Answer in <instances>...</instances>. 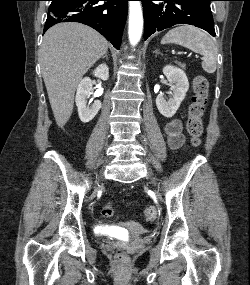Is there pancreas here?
<instances>
[{
    "instance_id": "cf45deb5",
    "label": "pancreas",
    "mask_w": 250,
    "mask_h": 285,
    "mask_svg": "<svg viewBox=\"0 0 250 285\" xmlns=\"http://www.w3.org/2000/svg\"><path fill=\"white\" fill-rule=\"evenodd\" d=\"M177 64H178L180 67L185 68V64H182V63H180V62H177Z\"/></svg>"
}]
</instances>
